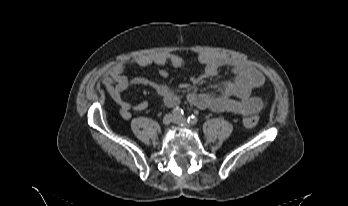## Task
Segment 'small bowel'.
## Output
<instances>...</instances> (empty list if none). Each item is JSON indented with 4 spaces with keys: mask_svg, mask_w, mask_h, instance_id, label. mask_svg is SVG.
I'll return each mask as SVG.
<instances>
[{
    "mask_svg": "<svg viewBox=\"0 0 348 206\" xmlns=\"http://www.w3.org/2000/svg\"><path fill=\"white\" fill-rule=\"evenodd\" d=\"M198 60L204 66L202 74L192 78L191 83L181 84L180 92L143 77H128L124 74L129 64L142 68L150 65L162 66L167 63L176 68L182 67L184 59L178 54L139 55L131 61L118 63L102 75L101 84L119 106L120 115L125 120L131 118L132 111H142L148 107L147 101L132 103L122 96L123 91L134 85L152 88L168 107H175L180 103L181 93H187L188 100L197 108L213 112H231L247 116L258 113L264 107V103L252 96V92L255 88L263 85L265 79L263 74L250 63L208 52L201 53ZM224 66H230L236 73V78L227 81L219 94L190 91L192 85H197L202 79L215 76L219 69ZM161 75L167 76V71L162 70Z\"/></svg>",
    "mask_w": 348,
    "mask_h": 206,
    "instance_id": "1",
    "label": "small bowel"
}]
</instances>
